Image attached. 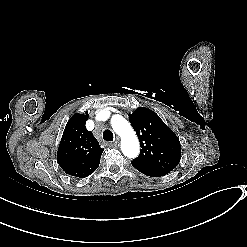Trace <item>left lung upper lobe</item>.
I'll list each match as a JSON object with an SVG mask.
<instances>
[{
	"mask_svg": "<svg viewBox=\"0 0 247 247\" xmlns=\"http://www.w3.org/2000/svg\"><path fill=\"white\" fill-rule=\"evenodd\" d=\"M129 121L140 141V155L131 163L166 173L179 163L181 145L176 134L152 110L138 108L129 114Z\"/></svg>",
	"mask_w": 247,
	"mask_h": 247,
	"instance_id": "1",
	"label": "left lung upper lobe"
}]
</instances>
